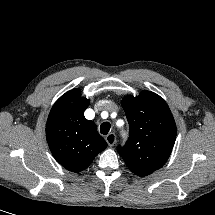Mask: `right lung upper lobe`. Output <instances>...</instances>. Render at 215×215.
Segmentation results:
<instances>
[{
  "label": "right lung upper lobe",
  "mask_w": 215,
  "mask_h": 215,
  "mask_svg": "<svg viewBox=\"0 0 215 215\" xmlns=\"http://www.w3.org/2000/svg\"><path fill=\"white\" fill-rule=\"evenodd\" d=\"M89 102L81 97L80 89L70 90L53 105L46 123V138L54 158L72 172L86 169L107 146L94 122L84 117Z\"/></svg>",
  "instance_id": "cb5924a9"
}]
</instances>
